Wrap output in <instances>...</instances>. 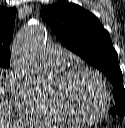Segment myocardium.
I'll use <instances>...</instances> for the list:
<instances>
[{"instance_id":"obj_1","label":"myocardium","mask_w":125,"mask_h":128,"mask_svg":"<svg viewBox=\"0 0 125 128\" xmlns=\"http://www.w3.org/2000/svg\"><path fill=\"white\" fill-rule=\"evenodd\" d=\"M81 71L91 72L96 77H98V79L102 83L105 100H104V104L102 108L99 111L92 113V114H81V113L71 110L64 103V101L61 99V97L58 94L51 93L50 97L53 101L55 108L68 121L77 122V123H88V122H93V121L100 119L108 112L110 105H111V90H110L109 83L106 77L103 75V73L100 72L98 69L92 66L86 65V64H77L62 71L61 74L59 75V80L62 83H64L67 80H69L72 76H74L76 73L81 72Z\"/></svg>"}]
</instances>
